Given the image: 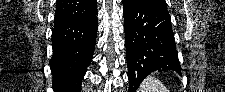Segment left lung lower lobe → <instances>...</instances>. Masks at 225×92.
Listing matches in <instances>:
<instances>
[{
	"mask_svg": "<svg viewBox=\"0 0 225 92\" xmlns=\"http://www.w3.org/2000/svg\"><path fill=\"white\" fill-rule=\"evenodd\" d=\"M123 13L129 92L153 72L181 74L168 11L140 0H123Z\"/></svg>",
	"mask_w": 225,
	"mask_h": 92,
	"instance_id": "0a47b994",
	"label": "left lung lower lobe"
}]
</instances>
